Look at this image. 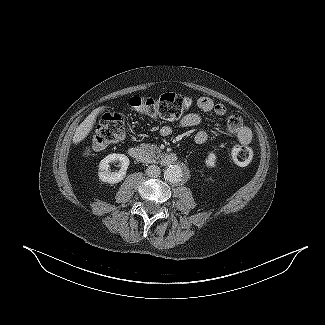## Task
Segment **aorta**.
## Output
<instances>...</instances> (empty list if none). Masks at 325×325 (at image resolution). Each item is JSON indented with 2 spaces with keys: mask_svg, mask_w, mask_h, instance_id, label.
<instances>
[{
  "mask_svg": "<svg viewBox=\"0 0 325 325\" xmlns=\"http://www.w3.org/2000/svg\"><path fill=\"white\" fill-rule=\"evenodd\" d=\"M164 177L167 181L171 183H178L183 180L184 172L179 165H170L164 173Z\"/></svg>",
  "mask_w": 325,
  "mask_h": 325,
  "instance_id": "obj_1",
  "label": "aorta"
}]
</instances>
